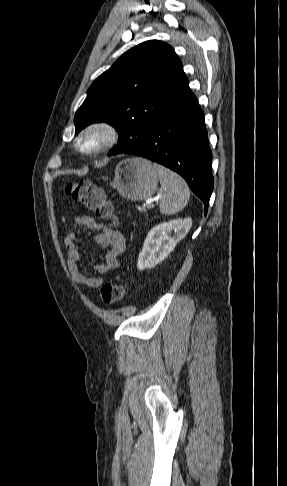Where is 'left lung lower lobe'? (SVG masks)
<instances>
[{
  "label": "left lung lower lobe",
  "mask_w": 287,
  "mask_h": 486,
  "mask_svg": "<svg viewBox=\"0 0 287 486\" xmlns=\"http://www.w3.org/2000/svg\"><path fill=\"white\" fill-rule=\"evenodd\" d=\"M125 153L147 158L179 173L207 210L213 190L212 153L204 113L189 85L150 129L145 141Z\"/></svg>",
  "instance_id": "1"
}]
</instances>
